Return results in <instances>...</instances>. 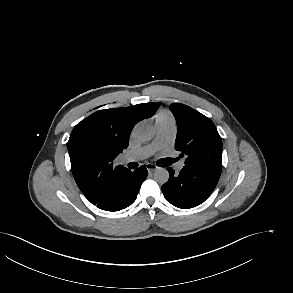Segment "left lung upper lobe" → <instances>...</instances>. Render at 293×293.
<instances>
[{
	"label": "left lung upper lobe",
	"mask_w": 293,
	"mask_h": 293,
	"mask_svg": "<svg viewBox=\"0 0 293 293\" xmlns=\"http://www.w3.org/2000/svg\"><path fill=\"white\" fill-rule=\"evenodd\" d=\"M177 122L176 150L185 158V166L203 168L221 174L222 140L213 122L180 103L170 105Z\"/></svg>",
	"instance_id": "5c2ea615"
}]
</instances>
